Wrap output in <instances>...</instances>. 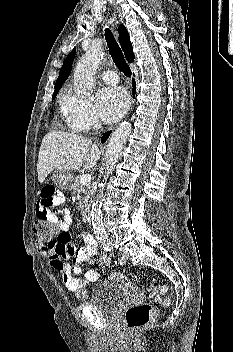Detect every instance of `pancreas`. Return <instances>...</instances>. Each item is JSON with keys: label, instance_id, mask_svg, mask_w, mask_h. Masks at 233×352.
Instances as JSON below:
<instances>
[{"label": "pancreas", "instance_id": "pancreas-1", "mask_svg": "<svg viewBox=\"0 0 233 352\" xmlns=\"http://www.w3.org/2000/svg\"><path fill=\"white\" fill-rule=\"evenodd\" d=\"M72 189L74 194H76L77 192H79L80 194H83L81 200L79 201V208L83 210L89 205L88 203L90 200V195L92 193L91 185L89 183L82 185L80 183V178L76 177L75 179H73Z\"/></svg>", "mask_w": 233, "mask_h": 352}]
</instances>
